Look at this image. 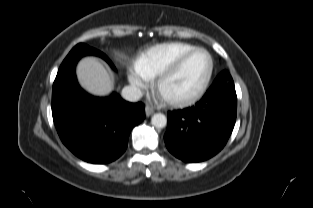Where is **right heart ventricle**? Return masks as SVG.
Returning <instances> with one entry per match:
<instances>
[{"label":"right heart ventricle","instance_id":"e07e8e85","mask_svg":"<svg viewBox=\"0 0 313 208\" xmlns=\"http://www.w3.org/2000/svg\"><path fill=\"white\" fill-rule=\"evenodd\" d=\"M195 48L181 42L153 46L141 54L135 63V69L143 78L153 79L170 68L180 56Z\"/></svg>","mask_w":313,"mask_h":208}]
</instances>
